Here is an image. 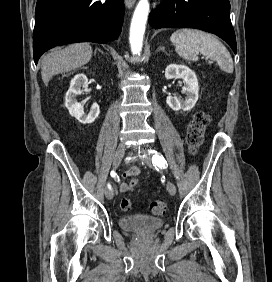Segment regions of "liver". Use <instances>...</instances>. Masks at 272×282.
Instances as JSON below:
<instances>
[{
	"label": "liver",
	"instance_id": "liver-1",
	"mask_svg": "<svg viewBox=\"0 0 272 282\" xmlns=\"http://www.w3.org/2000/svg\"><path fill=\"white\" fill-rule=\"evenodd\" d=\"M88 43H75L64 49H55L41 61V76L45 85L57 74L65 73L87 64L92 57Z\"/></svg>",
	"mask_w": 272,
	"mask_h": 282
}]
</instances>
